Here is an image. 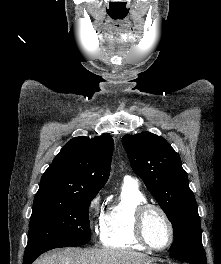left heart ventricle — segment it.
<instances>
[{"instance_id":"obj_1","label":"left heart ventricle","mask_w":221,"mask_h":264,"mask_svg":"<svg viewBox=\"0 0 221 264\" xmlns=\"http://www.w3.org/2000/svg\"><path fill=\"white\" fill-rule=\"evenodd\" d=\"M145 234L148 241L156 247L164 246L169 240V228L162 215L151 210L145 219Z\"/></svg>"}]
</instances>
